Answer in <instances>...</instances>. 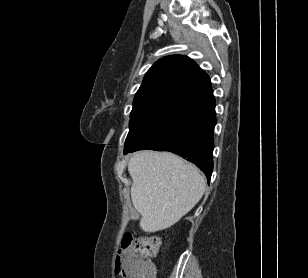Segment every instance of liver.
<instances>
[{
  "instance_id": "obj_1",
  "label": "liver",
  "mask_w": 308,
  "mask_h": 278,
  "mask_svg": "<svg viewBox=\"0 0 308 278\" xmlns=\"http://www.w3.org/2000/svg\"><path fill=\"white\" fill-rule=\"evenodd\" d=\"M131 199L145 232L167 229L202 198L206 180L199 169L170 152L140 151L128 161Z\"/></svg>"
}]
</instances>
